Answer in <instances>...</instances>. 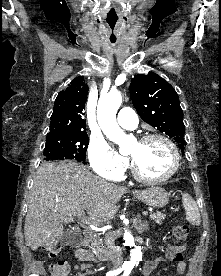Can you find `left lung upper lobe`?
I'll return each instance as SVG.
<instances>
[{"label":"left lung upper lobe","mask_w":221,"mask_h":276,"mask_svg":"<svg viewBox=\"0 0 221 276\" xmlns=\"http://www.w3.org/2000/svg\"><path fill=\"white\" fill-rule=\"evenodd\" d=\"M130 96L140 117L174 138L184 152L183 111L175 89L155 73L136 75L130 84Z\"/></svg>","instance_id":"obj_1"}]
</instances>
